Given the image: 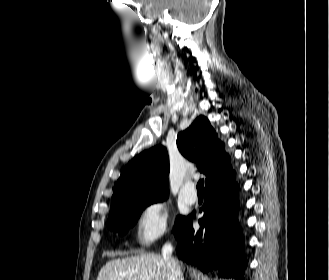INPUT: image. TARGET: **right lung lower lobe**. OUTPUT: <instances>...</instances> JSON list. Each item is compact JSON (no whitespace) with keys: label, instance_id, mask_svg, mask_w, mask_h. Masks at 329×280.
I'll list each match as a JSON object with an SVG mask.
<instances>
[{"label":"right lung lower lobe","instance_id":"right-lung-lower-lobe-1","mask_svg":"<svg viewBox=\"0 0 329 280\" xmlns=\"http://www.w3.org/2000/svg\"><path fill=\"white\" fill-rule=\"evenodd\" d=\"M237 210L238 185L230 166L206 184L200 229L195 231L192 227L193 212L175 230L180 241L176 249L179 258L203 272L217 268L223 276L243 278L246 259L242 256Z\"/></svg>","mask_w":329,"mask_h":280}]
</instances>
